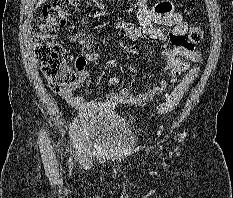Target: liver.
<instances>
[{"instance_id": "6515ba94", "label": "liver", "mask_w": 233, "mask_h": 198, "mask_svg": "<svg viewBox=\"0 0 233 198\" xmlns=\"http://www.w3.org/2000/svg\"><path fill=\"white\" fill-rule=\"evenodd\" d=\"M47 0H38L37 4H36V8L41 6L43 3H45Z\"/></svg>"}]
</instances>
